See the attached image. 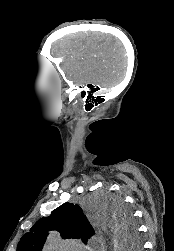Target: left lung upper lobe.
Instances as JSON below:
<instances>
[{
  "instance_id": "left-lung-upper-lobe-1",
  "label": "left lung upper lobe",
  "mask_w": 174,
  "mask_h": 251,
  "mask_svg": "<svg viewBox=\"0 0 174 251\" xmlns=\"http://www.w3.org/2000/svg\"><path fill=\"white\" fill-rule=\"evenodd\" d=\"M106 201V212L116 220L117 229L123 240L134 248H139L136 224L131 212L118 197H109ZM57 230L63 239H79L83 242L94 234V229L82 212V209L72 203L63 205L52 211L48 217H43L26 233L17 246V251H42L48 236V231Z\"/></svg>"
}]
</instances>
